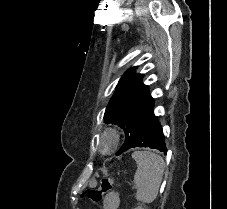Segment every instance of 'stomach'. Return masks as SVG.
Returning a JSON list of instances; mask_svg holds the SVG:
<instances>
[{"label": "stomach", "instance_id": "stomach-1", "mask_svg": "<svg viewBox=\"0 0 227 209\" xmlns=\"http://www.w3.org/2000/svg\"><path fill=\"white\" fill-rule=\"evenodd\" d=\"M120 204L119 194L110 192L104 198V209H117Z\"/></svg>", "mask_w": 227, "mask_h": 209}]
</instances>
